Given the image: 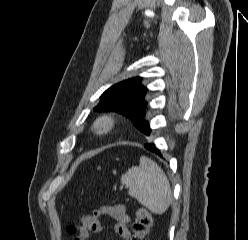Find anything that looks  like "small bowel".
<instances>
[{
    "mask_svg": "<svg viewBox=\"0 0 248 240\" xmlns=\"http://www.w3.org/2000/svg\"><path fill=\"white\" fill-rule=\"evenodd\" d=\"M112 218L115 220L114 230L116 234L125 240H131V233L128 228L130 217L125 207L121 204L104 205L91 213L83 215L77 225H69L66 232L74 236V240H86L91 234L101 233L103 230L102 219Z\"/></svg>",
    "mask_w": 248,
    "mask_h": 240,
    "instance_id": "1",
    "label": "small bowel"
}]
</instances>
